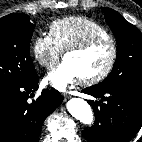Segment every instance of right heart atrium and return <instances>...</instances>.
Returning <instances> with one entry per match:
<instances>
[{
    "label": "right heart atrium",
    "mask_w": 142,
    "mask_h": 142,
    "mask_svg": "<svg viewBox=\"0 0 142 142\" xmlns=\"http://www.w3.org/2000/svg\"><path fill=\"white\" fill-rule=\"evenodd\" d=\"M32 53L36 62L44 67H53L61 54L49 35L41 34L34 38L32 42Z\"/></svg>",
    "instance_id": "right-heart-atrium-1"
}]
</instances>
